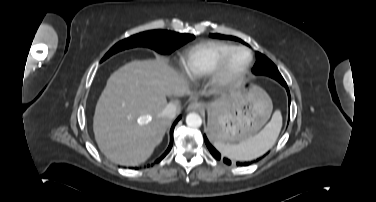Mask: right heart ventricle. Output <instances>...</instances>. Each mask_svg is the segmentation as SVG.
<instances>
[{"instance_id": "e07e8e85", "label": "right heart ventricle", "mask_w": 376, "mask_h": 202, "mask_svg": "<svg viewBox=\"0 0 376 202\" xmlns=\"http://www.w3.org/2000/svg\"><path fill=\"white\" fill-rule=\"evenodd\" d=\"M234 45L221 41H206L189 48L182 57L181 69L189 79L210 75L220 58Z\"/></svg>"}]
</instances>
